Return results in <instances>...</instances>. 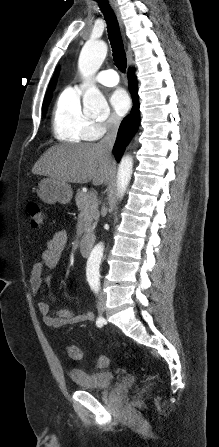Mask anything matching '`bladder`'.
Instances as JSON below:
<instances>
[{
    "mask_svg": "<svg viewBox=\"0 0 219 447\" xmlns=\"http://www.w3.org/2000/svg\"><path fill=\"white\" fill-rule=\"evenodd\" d=\"M69 377L81 390L101 391L111 386L114 375L108 371L86 372L80 369H71Z\"/></svg>",
    "mask_w": 219,
    "mask_h": 447,
    "instance_id": "bladder-1",
    "label": "bladder"
}]
</instances>
